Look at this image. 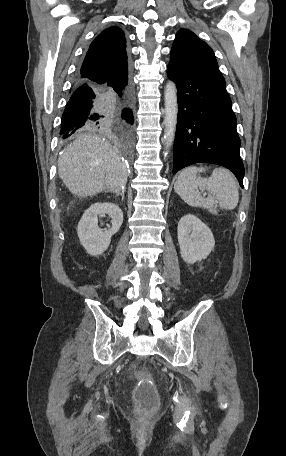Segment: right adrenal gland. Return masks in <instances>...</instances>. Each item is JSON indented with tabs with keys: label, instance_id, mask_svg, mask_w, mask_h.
I'll use <instances>...</instances> for the list:
<instances>
[{
	"label": "right adrenal gland",
	"instance_id": "1",
	"mask_svg": "<svg viewBox=\"0 0 286 456\" xmlns=\"http://www.w3.org/2000/svg\"><path fill=\"white\" fill-rule=\"evenodd\" d=\"M119 195V194H117ZM121 197H122V201L124 200V196H125V191L124 189L121 190V193H120Z\"/></svg>",
	"mask_w": 286,
	"mask_h": 456
}]
</instances>
